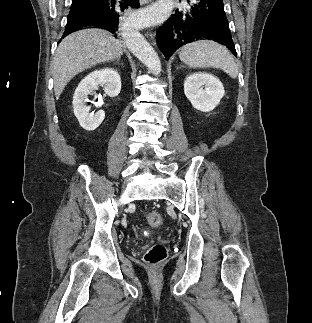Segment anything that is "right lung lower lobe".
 <instances>
[{"mask_svg":"<svg viewBox=\"0 0 312 323\" xmlns=\"http://www.w3.org/2000/svg\"><path fill=\"white\" fill-rule=\"evenodd\" d=\"M128 7L138 8L139 0L116 2V0H85L71 6L68 21L62 38L82 27L105 29L115 37L121 28L126 26Z\"/></svg>","mask_w":312,"mask_h":323,"instance_id":"right-lung-lower-lobe-1","label":"right lung lower lobe"}]
</instances>
